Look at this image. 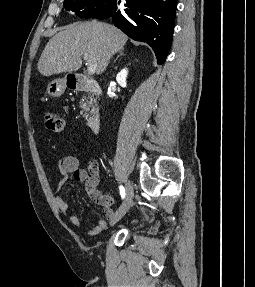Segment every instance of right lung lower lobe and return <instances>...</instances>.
<instances>
[{
  "mask_svg": "<svg viewBox=\"0 0 255 287\" xmlns=\"http://www.w3.org/2000/svg\"><path fill=\"white\" fill-rule=\"evenodd\" d=\"M176 5L177 0H126V9L116 8L106 18L133 40L149 44L163 64L173 38Z\"/></svg>",
  "mask_w": 255,
  "mask_h": 287,
  "instance_id": "98d812e1",
  "label": "right lung lower lobe"
}]
</instances>
